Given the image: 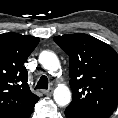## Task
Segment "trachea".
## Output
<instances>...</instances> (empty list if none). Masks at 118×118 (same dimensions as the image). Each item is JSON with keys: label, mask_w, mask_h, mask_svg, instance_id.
<instances>
[{"label": "trachea", "mask_w": 118, "mask_h": 118, "mask_svg": "<svg viewBox=\"0 0 118 118\" xmlns=\"http://www.w3.org/2000/svg\"><path fill=\"white\" fill-rule=\"evenodd\" d=\"M35 89H48V79L46 76H42L39 79Z\"/></svg>", "instance_id": "3493384b"}]
</instances>
